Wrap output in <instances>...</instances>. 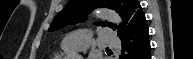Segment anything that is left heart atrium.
<instances>
[{
  "instance_id": "1",
  "label": "left heart atrium",
  "mask_w": 193,
  "mask_h": 59,
  "mask_svg": "<svg viewBox=\"0 0 193 59\" xmlns=\"http://www.w3.org/2000/svg\"><path fill=\"white\" fill-rule=\"evenodd\" d=\"M88 59H98L97 55H91Z\"/></svg>"
}]
</instances>
